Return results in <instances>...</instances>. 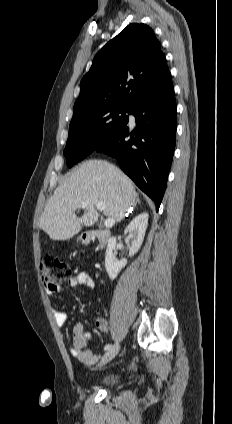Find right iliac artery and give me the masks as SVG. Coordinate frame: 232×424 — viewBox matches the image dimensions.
<instances>
[{"label":"right iliac artery","instance_id":"obj_1","mask_svg":"<svg viewBox=\"0 0 232 424\" xmlns=\"http://www.w3.org/2000/svg\"><path fill=\"white\" fill-rule=\"evenodd\" d=\"M111 347H112V345H111V344H107V345L104 347V350H109Z\"/></svg>","mask_w":232,"mask_h":424}]
</instances>
